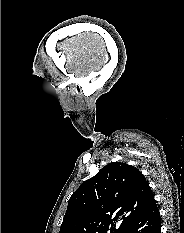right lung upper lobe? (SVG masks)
<instances>
[{
  "mask_svg": "<svg viewBox=\"0 0 184 233\" xmlns=\"http://www.w3.org/2000/svg\"><path fill=\"white\" fill-rule=\"evenodd\" d=\"M154 204L141 172L112 162L72 194L59 233H124Z\"/></svg>",
  "mask_w": 184,
  "mask_h": 233,
  "instance_id": "cb5924a9",
  "label": "right lung upper lobe"
}]
</instances>
